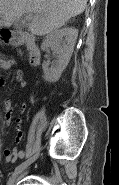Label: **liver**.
<instances>
[{"label":"liver","instance_id":"1","mask_svg":"<svg viewBox=\"0 0 119 185\" xmlns=\"http://www.w3.org/2000/svg\"><path fill=\"white\" fill-rule=\"evenodd\" d=\"M87 0H0V28H9L23 14L33 15L29 29L44 36L83 13Z\"/></svg>","mask_w":119,"mask_h":185}]
</instances>
